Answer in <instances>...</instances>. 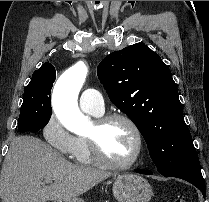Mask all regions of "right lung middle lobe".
Returning <instances> with one entry per match:
<instances>
[{
	"label": "right lung middle lobe",
	"instance_id": "right-lung-middle-lobe-1",
	"mask_svg": "<svg viewBox=\"0 0 209 202\" xmlns=\"http://www.w3.org/2000/svg\"><path fill=\"white\" fill-rule=\"evenodd\" d=\"M56 77L32 78L24 90L18 131L37 132L49 122L52 109L50 93Z\"/></svg>",
	"mask_w": 209,
	"mask_h": 202
}]
</instances>
